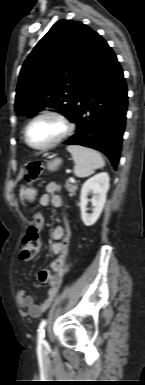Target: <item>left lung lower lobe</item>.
<instances>
[{"mask_svg": "<svg viewBox=\"0 0 145 385\" xmlns=\"http://www.w3.org/2000/svg\"><path fill=\"white\" fill-rule=\"evenodd\" d=\"M127 99V86L116 55L96 34L92 54L80 78L71 119L77 125V132L65 144L99 150L115 168L125 129Z\"/></svg>", "mask_w": 145, "mask_h": 385, "instance_id": "0a47b994", "label": "left lung lower lobe"}]
</instances>
